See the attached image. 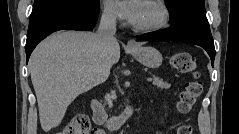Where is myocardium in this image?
<instances>
[{"label":"myocardium","mask_w":239,"mask_h":134,"mask_svg":"<svg viewBox=\"0 0 239 134\" xmlns=\"http://www.w3.org/2000/svg\"><path fill=\"white\" fill-rule=\"evenodd\" d=\"M146 3L156 10V12L158 13V19L152 24L139 26L135 25V28L143 32H155L163 29L169 22V12L166 6L159 1L153 0H148L146 1Z\"/></svg>","instance_id":"obj_1"}]
</instances>
